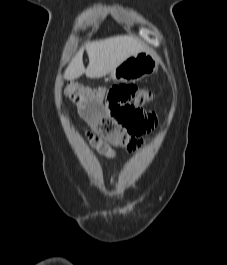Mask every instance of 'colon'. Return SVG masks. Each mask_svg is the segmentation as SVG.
Here are the masks:
<instances>
[{
	"mask_svg": "<svg viewBox=\"0 0 227 265\" xmlns=\"http://www.w3.org/2000/svg\"><path fill=\"white\" fill-rule=\"evenodd\" d=\"M66 94L76 102L79 99L93 102L105 97L109 115L131 135L141 136L156 124L155 114L142 108L152 101V93L132 84H114L106 90L73 82L67 86Z\"/></svg>",
	"mask_w": 227,
	"mask_h": 265,
	"instance_id": "5ec220e1",
	"label": "colon"
}]
</instances>
